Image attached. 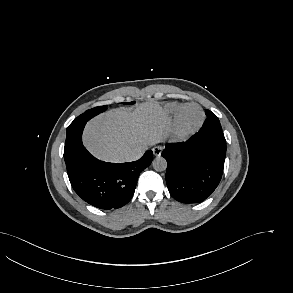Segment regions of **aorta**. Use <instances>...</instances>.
<instances>
[{"mask_svg": "<svg viewBox=\"0 0 293 293\" xmlns=\"http://www.w3.org/2000/svg\"><path fill=\"white\" fill-rule=\"evenodd\" d=\"M152 165L156 171H164L167 168V161L165 158L158 156L153 160Z\"/></svg>", "mask_w": 293, "mask_h": 293, "instance_id": "762f6f07", "label": "aorta"}]
</instances>
